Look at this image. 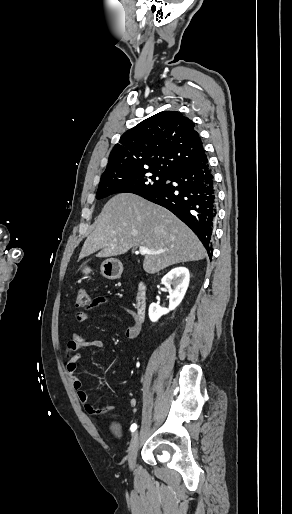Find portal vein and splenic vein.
Instances as JSON below:
<instances>
[{
    "mask_svg": "<svg viewBox=\"0 0 292 514\" xmlns=\"http://www.w3.org/2000/svg\"><path fill=\"white\" fill-rule=\"evenodd\" d=\"M139 252L141 256H144V254H163L161 250H159V252H154V250H148V248H144V246H140Z\"/></svg>",
    "mask_w": 292,
    "mask_h": 514,
    "instance_id": "obj_1",
    "label": "portal vein and splenic vein"
}]
</instances>
